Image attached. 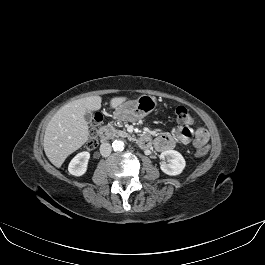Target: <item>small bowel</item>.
I'll return each instance as SVG.
<instances>
[{
	"mask_svg": "<svg viewBox=\"0 0 265 265\" xmlns=\"http://www.w3.org/2000/svg\"><path fill=\"white\" fill-rule=\"evenodd\" d=\"M176 141L184 144L192 143L199 150L204 148L208 142V134L202 128L197 129L193 134L190 128L182 126L173 134L163 133L159 135L154 141V147L159 151H166L173 148Z\"/></svg>",
	"mask_w": 265,
	"mask_h": 265,
	"instance_id": "1",
	"label": "small bowel"
}]
</instances>
